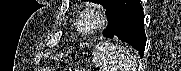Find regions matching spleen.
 I'll list each match as a JSON object with an SVG mask.
<instances>
[{
	"mask_svg": "<svg viewBox=\"0 0 181 71\" xmlns=\"http://www.w3.org/2000/svg\"><path fill=\"white\" fill-rule=\"evenodd\" d=\"M93 63L100 71H136V59L128 50L100 42L93 52Z\"/></svg>",
	"mask_w": 181,
	"mask_h": 71,
	"instance_id": "obj_1",
	"label": "spleen"
}]
</instances>
